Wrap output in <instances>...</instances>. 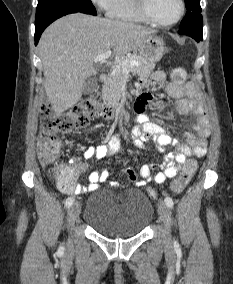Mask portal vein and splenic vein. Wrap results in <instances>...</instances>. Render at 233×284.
<instances>
[{"mask_svg":"<svg viewBox=\"0 0 233 284\" xmlns=\"http://www.w3.org/2000/svg\"><path fill=\"white\" fill-rule=\"evenodd\" d=\"M111 50H108L106 51L105 53H102V54H99L97 55L95 58H94V62L95 63H98V62H104L106 59H108L110 56H111ZM122 65V69L125 71V72H128V66H138L139 63L136 61V60H131L130 62L129 61H123L121 63Z\"/></svg>","mask_w":233,"mask_h":284,"instance_id":"18ae733b","label":"portal vein and splenic vein"}]
</instances>
